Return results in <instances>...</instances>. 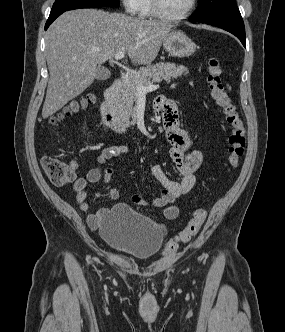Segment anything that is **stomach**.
Wrapping results in <instances>:
<instances>
[{
	"mask_svg": "<svg viewBox=\"0 0 285 332\" xmlns=\"http://www.w3.org/2000/svg\"><path fill=\"white\" fill-rule=\"evenodd\" d=\"M164 49L173 57H189L196 51L195 43L181 31H170L163 41Z\"/></svg>",
	"mask_w": 285,
	"mask_h": 332,
	"instance_id": "stomach-1",
	"label": "stomach"
}]
</instances>
